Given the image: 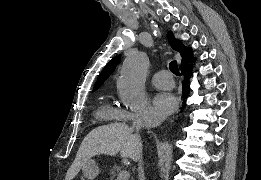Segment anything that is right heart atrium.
<instances>
[{
  "mask_svg": "<svg viewBox=\"0 0 261 180\" xmlns=\"http://www.w3.org/2000/svg\"><path fill=\"white\" fill-rule=\"evenodd\" d=\"M149 112H144L142 114V116H139L137 114H134V113H131V112H122L120 114V119L121 120H131V125H125V127H144V124L143 125H134V120H143V123L145 121L146 118L149 117Z\"/></svg>",
  "mask_w": 261,
  "mask_h": 180,
  "instance_id": "right-heart-atrium-1",
  "label": "right heart atrium"
}]
</instances>
